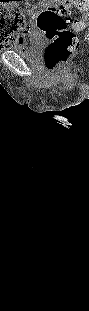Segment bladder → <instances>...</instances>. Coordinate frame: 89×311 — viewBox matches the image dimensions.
Listing matches in <instances>:
<instances>
[{
	"label": "bladder",
	"instance_id": "31cf9c89",
	"mask_svg": "<svg viewBox=\"0 0 89 311\" xmlns=\"http://www.w3.org/2000/svg\"><path fill=\"white\" fill-rule=\"evenodd\" d=\"M9 49L18 53L25 61L35 62L42 52L43 43L40 38L30 36L20 43L12 44Z\"/></svg>",
	"mask_w": 89,
	"mask_h": 311
}]
</instances>
